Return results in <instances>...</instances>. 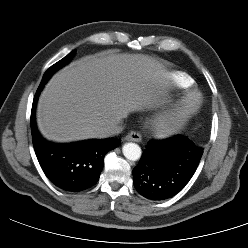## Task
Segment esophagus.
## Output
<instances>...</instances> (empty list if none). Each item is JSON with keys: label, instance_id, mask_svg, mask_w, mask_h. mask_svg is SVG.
Here are the masks:
<instances>
[{"label": "esophagus", "instance_id": "esophagus-1", "mask_svg": "<svg viewBox=\"0 0 248 248\" xmlns=\"http://www.w3.org/2000/svg\"><path fill=\"white\" fill-rule=\"evenodd\" d=\"M126 141H133V142H141L142 138L138 132L131 131L128 133L125 138Z\"/></svg>", "mask_w": 248, "mask_h": 248}]
</instances>
